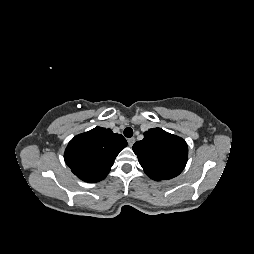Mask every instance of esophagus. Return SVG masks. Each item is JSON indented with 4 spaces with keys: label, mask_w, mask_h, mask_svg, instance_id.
Here are the masks:
<instances>
[{
    "label": "esophagus",
    "mask_w": 254,
    "mask_h": 254,
    "mask_svg": "<svg viewBox=\"0 0 254 254\" xmlns=\"http://www.w3.org/2000/svg\"><path fill=\"white\" fill-rule=\"evenodd\" d=\"M127 142H128V144H129V146H133V144L135 143V138H129L128 140H127Z\"/></svg>",
    "instance_id": "1"
}]
</instances>
